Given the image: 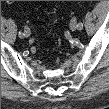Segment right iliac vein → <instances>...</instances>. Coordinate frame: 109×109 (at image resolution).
Returning a JSON list of instances; mask_svg holds the SVG:
<instances>
[{
    "instance_id": "63e3f726",
    "label": "right iliac vein",
    "mask_w": 109,
    "mask_h": 109,
    "mask_svg": "<svg viewBox=\"0 0 109 109\" xmlns=\"http://www.w3.org/2000/svg\"><path fill=\"white\" fill-rule=\"evenodd\" d=\"M30 29L28 27L24 28V35L25 37H29L30 36Z\"/></svg>"
}]
</instances>
